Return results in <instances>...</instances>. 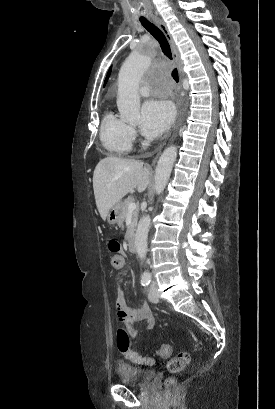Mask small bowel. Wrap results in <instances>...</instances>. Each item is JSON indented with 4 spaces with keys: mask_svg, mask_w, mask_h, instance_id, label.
Here are the masks:
<instances>
[{
    "mask_svg": "<svg viewBox=\"0 0 275 409\" xmlns=\"http://www.w3.org/2000/svg\"><path fill=\"white\" fill-rule=\"evenodd\" d=\"M118 281L120 282L121 278H119ZM121 303L122 301H119V304ZM116 317L118 320L129 324L127 328L125 325L117 326L116 341L119 353L123 355L125 360H131L133 366H140L141 364L152 365L154 363L152 359L142 357L140 351H132L130 347L132 345L130 334L133 336L137 335L136 324L148 330L153 329L155 326L156 321L150 304L143 302L137 307L118 306Z\"/></svg>",
    "mask_w": 275,
    "mask_h": 409,
    "instance_id": "obj_1",
    "label": "small bowel"
}]
</instances>
